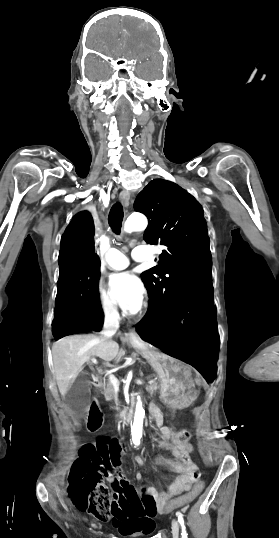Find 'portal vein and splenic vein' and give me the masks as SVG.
<instances>
[{
	"label": "portal vein and splenic vein",
	"mask_w": 279,
	"mask_h": 538,
	"mask_svg": "<svg viewBox=\"0 0 279 538\" xmlns=\"http://www.w3.org/2000/svg\"><path fill=\"white\" fill-rule=\"evenodd\" d=\"M91 363L93 365H98V357H97V355H92ZM109 380H110V383H112V385L114 387H117L118 385H120V380H117V378H115V376H113V374H109ZM145 383H155V380H145Z\"/></svg>",
	"instance_id": "1"
}]
</instances>
